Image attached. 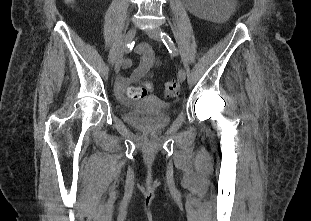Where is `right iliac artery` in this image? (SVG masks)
Here are the masks:
<instances>
[{
	"instance_id": "right-iliac-artery-1",
	"label": "right iliac artery",
	"mask_w": 311,
	"mask_h": 221,
	"mask_svg": "<svg viewBox=\"0 0 311 221\" xmlns=\"http://www.w3.org/2000/svg\"><path fill=\"white\" fill-rule=\"evenodd\" d=\"M133 46H134V42H132L131 44H128V45H127V50L132 49Z\"/></svg>"
}]
</instances>
